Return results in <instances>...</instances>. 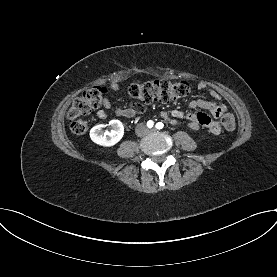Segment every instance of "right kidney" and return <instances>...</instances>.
<instances>
[{"instance_id": "right-kidney-1", "label": "right kidney", "mask_w": 277, "mask_h": 277, "mask_svg": "<svg viewBox=\"0 0 277 277\" xmlns=\"http://www.w3.org/2000/svg\"><path fill=\"white\" fill-rule=\"evenodd\" d=\"M110 130L103 131L105 125L94 126L90 130L91 140L101 146L110 147L118 143L124 135V126L119 120L109 122Z\"/></svg>"}]
</instances>
